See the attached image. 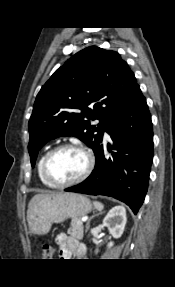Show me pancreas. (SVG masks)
Wrapping results in <instances>:
<instances>
[{
  "mask_svg": "<svg viewBox=\"0 0 175 287\" xmlns=\"http://www.w3.org/2000/svg\"><path fill=\"white\" fill-rule=\"evenodd\" d=\"M80 220L77 218H72L70 228L68 229L67 233L71 236L81 240L83 238V225L79 223Z\"/></svg>",
  "mask_w": 175,
  "mask_h": 287,
  "instance_id": "pancreas-1",
  "label": "pancreas"
}]
</instances>
